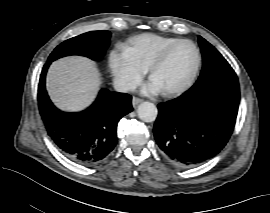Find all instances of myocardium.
Instances as JSON below:
<instances>
[{
    "label": "myocardium",
    "instance_id": "obj_1",
    "mask_svg": "<svg viewBox=\"0 0 270 213\" xmlns=\"http://www.w3.org/2000/svg\"><path fill=\"white\" fill-rule=\"evenodd\" d=\"M181 44H189L193 47L195 53H196V65L195 68L190 76V78L180 87L178 88H174V89H168V90H163L161 91L162 95L170 97V96H175V95H179L182 94L184 92H186L188 89H190L199 72L200 69V65H201V55H200V51L199 48L196 46V44L194 42H192L191 40H187V39H180L172 44H170L169 46H167L165 49H163L149 64L148 68H149V78L152 79L155 70L157 69V67L159 65H161L165 59L168 57L169 53L178 45Z\"/></svg>",
    "mask_w": 270,
    "mask_h": 213
}]
</instances>
